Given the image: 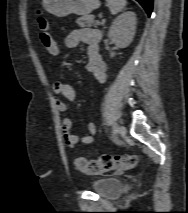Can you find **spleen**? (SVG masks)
Wrapping results in <instances>:
<instances>
[{
    "label": "spleen",
    "mask_w": 188,
    "mask_h": 213,
    "mask_svg": "<svg viewBox=\"0 0 188 213\" xmlns=\"http://www.w3.org/2000/svg\"><path fill=\"white\" fill-rule=\"evenodd\" d=\"M106 2L113 15L122 11L127 4L126 0H106Z\"/></svg>",
    "instance_id": "1"
}]
</instances>
